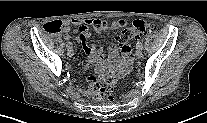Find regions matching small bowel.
I'll list each match as a JSON object with an SVG mask.
<instances>
[{"mask_svg": "<svg viewBox=\"0 0 207 123\" xmlns=\"http://www.w3.org/2000/svg\"><path fill=\"white\" fill-rule=\"evenodd\" d=\"M88 24L89 22L85 20H79V19L65 20L62 21V30L60 31L63 36L68 38L71 25L79 26L77 41L82 44L85 53L88 57V62L83 66L84 69H87L94 62L102 63L104 60V55L102 53V50L97 49L94 45H88L86 43V39L89 36ZM121 26H122V22L114 21L110 24V29L117 30ZM108 61L111 69L117 71L119 74L123 75L126 72H128L132 65L131 49L129 45L127 46L126 50L123 52L122 62H119V56L116 47L113 44L110 45ZM79 88L81 92L85 94H89L91 91L89 84H82L80 85Z\"/></svg>", "mask_w": 207, "mask_h": 123, "instance_id": "c3829d8e", "label": "small bowel"}]
</instances>
